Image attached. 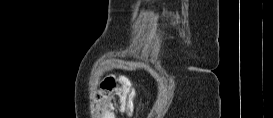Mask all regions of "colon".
I'll list each match as a JSON object with an SVG mask.
<instances>
[{
    "label": "colon",
    "instance_id": "1",
    "mask_svg": "<svg viewBox=\"0 0 273 118\" xmlns=\"http://www.w3.org/2000/svg\"><path fill=\"white\" fill-rule=\"evenodd\" d=\"M134 91L126 78L108 76L101 82V91L97 114L101 118H113V111L132 113L134 109Z\"/></svg>",
    "mask_w": 273,
    "mask_h": 118
}]
</instances>
